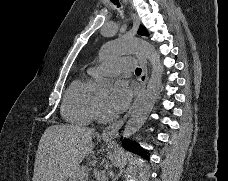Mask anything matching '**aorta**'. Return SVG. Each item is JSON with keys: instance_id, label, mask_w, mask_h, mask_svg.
<instances>
[{"instance_id": "1", "label": "aorta", "mask_w": 228, "mask_h": 181, "mask_svg": "<svg viewBox=\"0 0 228 181\" xmlns=\"http://www.w3.org/2000/svg\"><path fill=\"white\" fill-rule=\"evenodd\" d=\"M126 53L144 55L152 66L151 77L147 84V88L128 119L123 131V137L130 138L143 126L157 101L162 83L163 66L161 64L160 55L157 53L154 46L137 38L123 37L108 42L102 46L99 55L101 59H108ZM110 87L111 83L101 77L97 78L94 83V90L98 93H105Z\"/></svg>"}]
</instances>
